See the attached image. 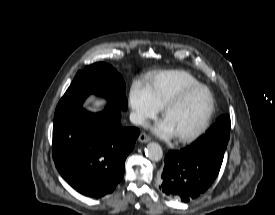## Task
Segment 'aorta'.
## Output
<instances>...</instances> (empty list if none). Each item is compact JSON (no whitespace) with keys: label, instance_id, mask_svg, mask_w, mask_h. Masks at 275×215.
<instances>
[{"label":"aorta","instance_id":"1","mask_svg":"<svg viewBox=\"0 0 275 215\" xmlns=\"http://www.w3.org/2000/svg\"><path fill=\"white\" fill-rule=\"evenodd\" d=\"M146 156L152 161H159L163 157V150L158 143L151 142L145 150Z\"/></svg>","mask_w":275,"mask_h":215}]
</instances>
